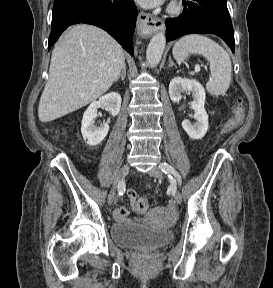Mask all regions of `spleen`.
<instances>
[{"label":"spleen","instance_id":"spleen-1","mask_svg":"<svg viewBox=\"0 0 273 288\" xmlns=\"http://www.w3.org/2000/svg\"><path fill=\"white\" fill-rule=\"evenodd\" d=\"M202 55L210 64L211 77L206 84L212 95L224 94L231 82V59L225 49L212 39L199 35H186L173 47V57L177 62L184 61L189 55Z\"/></svg>","mask_w":273,"mask_h":288}]
</instances>
